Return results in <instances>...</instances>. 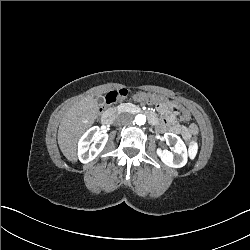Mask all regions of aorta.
Returning <instances> with one entry per match:
<instances>
[{
    "label": "aorta",
    "mask_w": 250,
    "mask_h": 250,
    "mask_svg": "<svg viewBox=\"0 0 250 250\" xmlns=\"http://www.w3.org/2000/svg\"><path fill=\"white\" fill-rule=\"evenodd\" d=\"M135 122L138 125H144L146 123V116L144 114L136 115Z\"/></svg>",
    "instance_id": "obj_1"
}]
</instances>
